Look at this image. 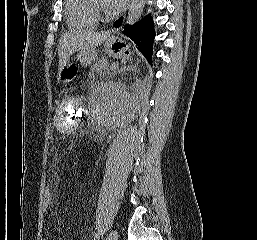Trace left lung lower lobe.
I'll list each match as a JSON object with an SVG mask.
<instances>
[{
	"label": "left lung lower lobe",
	"mask_w": 257,
	"mask_h": 240,
	"mask_svg": "<svg viewBox=\"0 0 257 240\" xmlns=\"http://www.w3.org/2000/svg\"><path fill=\"white\" fill-rule=\"evenodd\" d=\"M122 18L114 22V27H120L122 24ZM123 34L132 39L139 48V51L146 57L151 63L152 60V45L155 37L154 24L151 16L144 17L139 22L129 25L126 24L123 30Z\"/></svg>",
	"instance_id": "left-lung-lower-lobe-1"
}]
</instances>
